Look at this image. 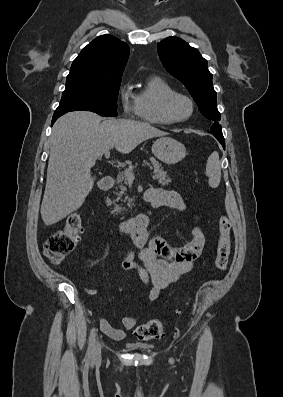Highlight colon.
<instances>
[{
  "label": "colon",
  "mask_w": 283,
  "mask_h": 397,
  "mask_svg": "<svg viewBox=\"0 0 283 397\" xmlns=\"http://www.w3.org/2000/svg\"><path fill=\"white\" fill-rule=\"evenodd\" d=\"M218 229L215 266L218 271L223 272L228 266L231 251V221L226 215L220 216ZM81 232L82 217L78 212H73L66 218L64 227L53 233L45 242V256L54 263L61 262L73 251ZM135 335L142 341L158 340L164 335V326L160 320L153 319L138 326Z\"/></svg>",
  "instance_id": "1"
}]
</instances>
